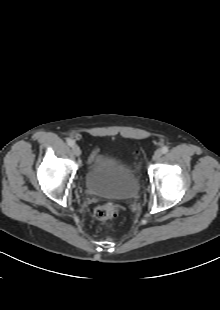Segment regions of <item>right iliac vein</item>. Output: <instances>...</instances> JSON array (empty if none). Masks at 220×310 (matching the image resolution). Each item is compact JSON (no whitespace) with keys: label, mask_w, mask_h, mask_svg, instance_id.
<instances>
[{"label":"right iliac vein","mask_w":220,"mask_h":310,"mask_svg":"<svg viewBox=\"0 0 220 310\" xmlns=\"http://www.w3.org/2000/svg\"><path fill=\"white\" fill-rule=\"evenodd\" d=\"M72 152L76 157H79L81 155V149L79 148L78 145L72 146Z\"/></svg>","instance_id":"obj_1"}]
</instances>
